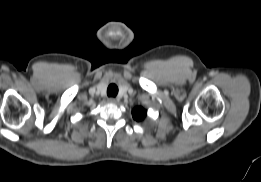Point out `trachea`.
<instances>
[{
	"instance_id": "1",
	"label": "trachea",
	"mask_w": 261,
	"mask_h": 182,
	"mask_svg": "<svg viewBox=\"0 0 261 182\" xmlns=\"http://www.w3.org/2000/svg\"><path fill=\"white\" fill-rule=\"evenodd\" d=\"M118 94V87L115 84H110L107 88V95L109 97H115Z\"/></svg>"
}]
</instances>
